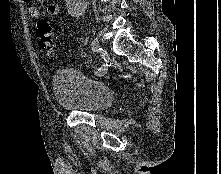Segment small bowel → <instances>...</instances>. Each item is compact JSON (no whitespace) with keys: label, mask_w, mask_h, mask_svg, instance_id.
Masks as SVG:
<instances>
[{"label":"small bowel","mask_w":221,"mask_h":174,"mask_svg":"<svg viewBox=\"0 0 221 174\" xmlns=\"http://www.w3.org/2000/svg\"><path fill=\"white\" fill-rule=\"evenodd\" d=\"M29 5V14L34 19H39L41 16V12L38 7L35 5H32L33 0H25ZM46 12L48 15L54 16L57 15L60 12V6L57 3H50L47 8Z\"/></svg>","instance_id":"obj_1"}]
</instances>
